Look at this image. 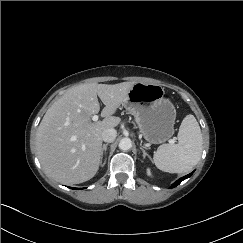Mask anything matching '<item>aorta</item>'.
I'll use <instances>...</instances> for the list:
<instances>
[{
    "mask_svg": "<svg viewBox=\"0 0 243 243\" xmlns=\"http://www.w3.org/2000/svg\"><path fill=\"white\" fill-rule=\"evenodd\" d=\"M132 147V141L129 138H123L119 142V148L122 151H127Z\"/></svg>",
    "mask_w": 243,
    "mask_h": 243,
    "instance_id": "obj_1",
    "label": "aorta"
}]
</instances>
